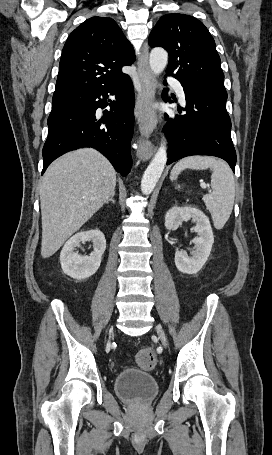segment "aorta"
<instances>
[{"instance_id": "762f6f07", "label": "aorta", "mask_w": 272, "mask_h": 455, "mask_svg": "<svg viewBox=\"0 0 272 455\" xmlns=\"http://www.w3.org/2000/svg\"><path fill=\"white\" fill-rule=\"evenodd\" d=\"M168 63V54L163 48H154L150 53L149 64L151 71L159 75ZM167 162L166 142L163 140L154 158L148 165L141 180V191L150 194L162 175Z\"/></svg>"}]
</instances>
